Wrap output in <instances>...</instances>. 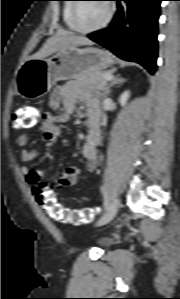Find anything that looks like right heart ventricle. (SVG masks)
<instances>
[{"label":"right heart ventricle","instance_id":"1","mask_svg":"<svg viewBox=\"0 0 180 299\" xmlns=\"http://www.w3.org/2000/svg\"><path fill=\"white\" fill-rule=\"evenodd\" d=\"M73 0H66V3L63 6L62 9V18L64 21V24L66 25V27L70 30H75L72 22H71V9L73 6Z\"/></svg>","mask_w":180,"mask_h":299}]
</instances>
